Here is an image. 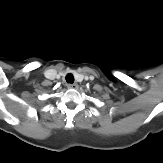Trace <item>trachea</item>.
<instances>
[{
  "instance_id": "1",
  "label": "trachea",
  "mask_w": 163,
  "mask_h": 163,
  "mask_svg": "<svg viewBox=\"0 0 163 163\" xmlns=\"http://www.w3.org/2000/svg\"><path fill=\"white\" fill-rule=\"evenodd\" d=\"M65 79L67 83H70V84L74 83V76L71 73L67 74Z\"/></svg>"
}]
</instances>
